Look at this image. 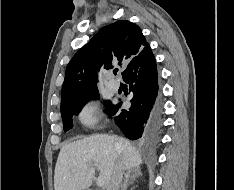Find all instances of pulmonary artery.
<instances>
[{
    "label": "pulmonary artery",
    "mask_w": 234,
    "mask_h": 190,
    "mask_svg": "<svg viewBox=\"0 0 234 190\" xmlns=\"http://www.w3.org/2000/svg\"><path fill=\"white\" fill-rule=\"evenodd\" d=\"M107 87L112 91H117L119 89V84L114 81H110L107 83Z\"/></svg>",
    "instance_id": "e3ab8cb5"
}]
</instances>
